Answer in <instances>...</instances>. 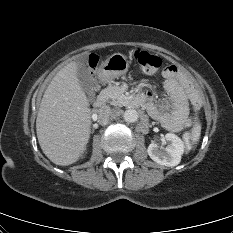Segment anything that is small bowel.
<instances>
[{"instance_id":"1","label":"small bowel","mask_w":233,"mask_h":233,"mask_svg":"<svg viewBox=\"0 0 233 233\" xmlns=\"http://www.w3.org/2000/svg\"><path fill=\"white\" fill-rule=\"evenodd\" d=\"M164 88L175 108L171 112L166 110L164 103L155 104L148 93L141 97L146 102L150 114L170 131H179L188 127L201 105L199 93L189 75L175 65L167 66L162 73Z\"/></svg>"}]
</instances>
